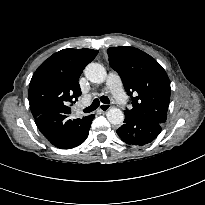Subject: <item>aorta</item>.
Listing matches in <instances>:
<instances>
[{
	"instance_id": "1",
	"label": "aorta",
	"mask_w": 205,
	"mask_h": 205,
	"mask_svg": "<svg viewBox=\"0 0 205 205\" xmlns=\"http://www.w3.org/2000/svg\"><path fill=\"white\" fill-rule=\"evenodd\" d=\"M86 78L92 83H102L106 79V70L99 63H89L84 70ZM108 121L120 125L124 121V113L116 107H111L106 113Z\"/></svg>"
}]
</instances>
